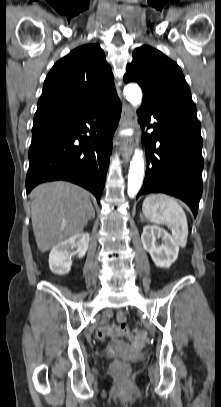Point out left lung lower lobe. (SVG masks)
<instances>
[{"instance_id": "obj_1", "label": "left lung lower lobe", "mask_w": 221, "mask_h": 407, "mask_svg": "<svg viewBox=\"0 0 221 407\" xmlns=\"http://www.w3.org/2000/svg\"><path fill=\"white\" fill-rule=\"evenodd\" d=\"M138 114L142 127L151 117L156 121L151 125L154 131L143 138L147 167L137 197L158 192L175 196L186 202L196 217L203 189L204 161L195 105L161 108L142 105Z\"/></svg>"}]
</instances>
